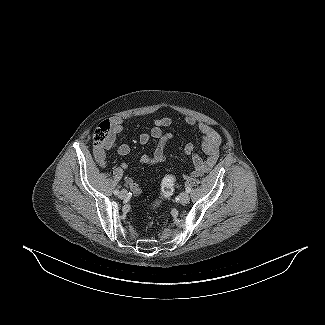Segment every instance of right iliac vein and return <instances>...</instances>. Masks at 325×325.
<instances>
[{
	"instance_id": "1",
	"label": "right iliac vein",
	"mask_w": 325,
	"mask_h": 325,
	"mask_svg": "<svg viewBox=\"0 0 325 325\" xmlns=\"http://www.w3.org/2000/svg\"><path fill=\"white\" fill-rule=\"evenodd\" d=\"M127 196H128V193H127L126 190H122V191L119 193V198H121V199H125Z\"/></svg>"
}]
</instances>
